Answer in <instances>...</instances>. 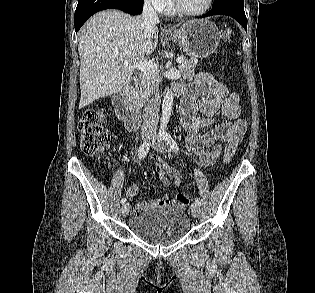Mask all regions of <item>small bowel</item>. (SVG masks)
Instances as JSON below:
<instances>
[{"mask_svg": "<svg viewBox=\"0 0 315 293\" xmlns=\"http://www.w3.org/2000/svg\"><path fill=\"white\" fill-rule=\"evenodd\" d=\"M180 90L183 94L180 124L187 131L185 149L205 166L216 162L222 151L221 143L225 144V151L229 150L233 154L247 130V122L240 118L238 95L229 92L223 83L206 72L197 74L191 84ZM197 108L200 115L196 113ZM151 163L159 168V179L164 186L170 185V178L176 185L181 182V172L162 158L154 156ZM137 193V186H131L128 192L131 202L139 200ZM171 203L168 196L151 201L142 200L135 212Z\"/></svg>", "mask_w": 315, "mask_h": 293, "instance_id": "small-bowel-1", "label": "small bowel"}]
</instances>
